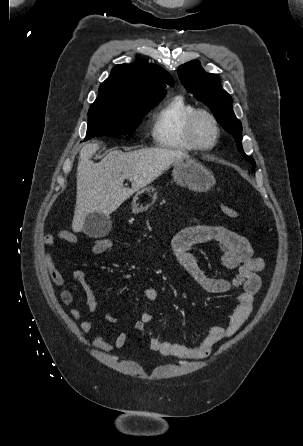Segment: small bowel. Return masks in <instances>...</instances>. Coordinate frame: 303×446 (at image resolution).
<instances>
[{
    "mask_svg": "<svg viewBox=\"0 0 303 446\" xmlns=\"http://www.w3.org/2000/svg\"><path fill=\"white\" fill-rule=\"evenodd\" d=\"M57 239L72 244H79L80 241L76 234L69 230H61L57 236L45 234L42 238V243L47 248L45 265L49 278L57 286H63L66 283V279L55 266L50 253V249ZM212 241L220 246L222 250L221 264L227 270L235 272L233 277L210 276L199 266L197 258L191 251L192 248ZM102 243L103 239L94 241L91 245V251L97 255L103 254ZM171 249L182 270L203 291L211 294H221L239 290L235 298V307L226 325L211 327L207 335L199 343L188 345L153 337L148 339L150 348L163 356L201 359L208 356L217 343L232 337L249 318L253 308L254 296L261 286L259 272L263 269L264 262L261 258L254 256L253 248L245 237L222 225H206L193 222L174 235L171 241ZM73 278L81 285L85 293L89 311H98L95 293L85 273L77 270L73 273ZM158 296L159 291L154 286H150L144 291V297L149 303L156 301ZM60 299L64 305H71L74 302V295L70 290H63L60 293ZM69 313L74 319L82 317V312L77 308L70 309ZM153 317L152 311H144L141 317L134 323L133 329L138 332H144L147 325L153 320ZM105 319L111 324L117 321L116 317L109 311L106 313ZM79 329L82 333H88L95 331L96 327L92 321L85 320L80 323ZM126 341L125 333L119 334L112 340H107L98 333L94 344L103 351H113L123 347Z\"/></svg>",
    "mask_w": 303,
    "mask_h": 446,
    "instance_id": "1",
    "label": "small bowel"
}]
</instances>
